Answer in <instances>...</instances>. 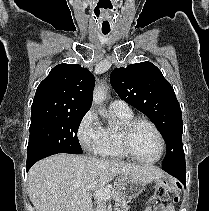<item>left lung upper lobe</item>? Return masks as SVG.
<instances>
[{"label":"left lung upper lobe","mask_w":209,"mask_h":211,"mask_svg":"<svg viewBox=\"0 0 209 211\" xmlns=\"http://www.w3.org/2000/svg\"><path fill=\"white\" fill-rule=\"evenodd\" d=\"M110 82L127 103L147 115L156 124L167 144L162 167L185 164L182 145V116L172 86L151 62L114 69Z\"/></svg>","instance_id":"left-lung-upper-lobe-1"}]
</instances>
